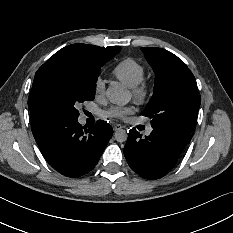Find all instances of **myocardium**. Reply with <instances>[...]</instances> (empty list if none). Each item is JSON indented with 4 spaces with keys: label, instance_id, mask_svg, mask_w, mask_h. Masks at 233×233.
Segmentation results:
<instances>
[{
    "label": "myocardium",
    "instance_id": "f54148a6",
    "mask_svg": "<svg viewBox=\"0 0 233 233\" xmlns=\"http://www.w3.org/2000/svg\"><path fill=\"white\" fill-rule=\"evenodd\" d=\"M150 85L146 80H142L139 84L131 87V93L133 97L139 102H145L149 96Z\"/></svg>",
    "mask_w": 233,
    "mask_h": 233
}]
</instances>
